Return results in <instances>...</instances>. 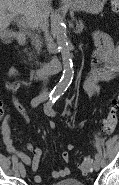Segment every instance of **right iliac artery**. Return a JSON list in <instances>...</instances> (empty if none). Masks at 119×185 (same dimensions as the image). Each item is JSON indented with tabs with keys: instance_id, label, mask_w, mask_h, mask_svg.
<instances>
[{
	"instance_id": "obj_1",
	"label": "right iliac artery",
	"mask_w": 119,
	"mask_h": 185,
	"mask_svg": "<svg viewBox=\"0 0 119 185\" xmlns=\"http://www.w3.org/2000/svg\"><path fill=\"white\" fill-rule=\"evenodd\" d=\"M49 97H50V98H53V97H56V95L53 94V93H51V94L49 95ZM43 98H44V97H42V96H37V97L33 98L32 101H31V106H32V107H37V106L43 101ZM22 166H23V164H22L21 162H19V163L17 164V167H18V168H21Z\"/></svg>"
}]
</instances>
